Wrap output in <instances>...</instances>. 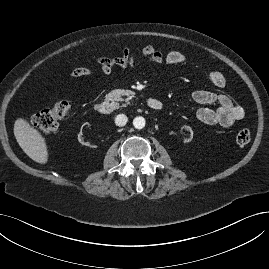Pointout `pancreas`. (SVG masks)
I'll use <instances>...</instances> for the list:
<instances>
[{
    "mask_svg": "<svg viewBox=\"0 0 269 269\" xmlns=\"http://www.w3.org/2000/svg\"><path fill=\"white\" fill-rule=\"evenodd\" d=\"M122 96H127V98L123 99ZM106 97L112 101H125L129 104V101L135 97V93L131 90L116 89L109 92ZM123 106H126V104H123Z\"/></svg>",
    "mask_w": 269,
    "mask_h": 269,
    "instance_id": "obj_1",
    "label": "pancreas"
}]
</instances>
